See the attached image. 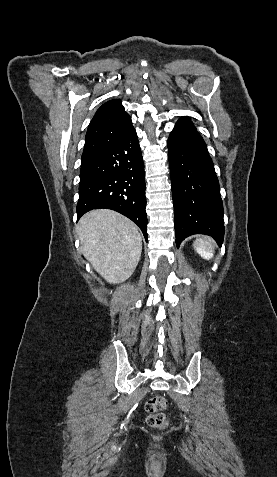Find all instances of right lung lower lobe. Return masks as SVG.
<instances>
[{"instance_id":"right-lung-lower-lobe-1","label":"right lung lower lobe","mask_w":277,"mask_h":477,"mask_svg":"<svg viewBox=\"0 0 277 477\" xmlns=\"http://www.w3.org/2000/svg\"><path fill=\"white\" fill-rule=\"evenodd\" d=\"M100 208L131 219L147 240L144 163L134 127L110 147L82 158L78 219Z\"/></svg>"}]
</instances>
